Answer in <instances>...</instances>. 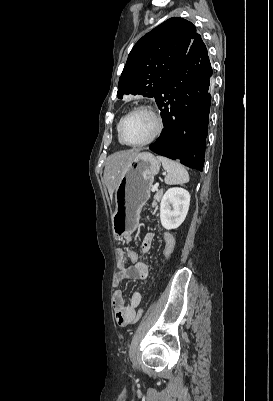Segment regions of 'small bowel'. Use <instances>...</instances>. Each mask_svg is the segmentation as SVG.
<instances>
[{
  "mask_svg": "<svg viewBox=\"0 0 273 401\" xmlns=\"http://www.w3.org/2000/svg\"><path fill=\"white\" fill-rule=\"evenodd\" d=\"M166 242L165 253L170 249H174L175 240L171 233L166 232L164 235ZM154 242V234H146L142 242V251L148 252ZM129 262L128 266L125 263ZM117 273L115 275V286L120 285L124 280L133 279L137 280L140 271H149L148 266L139 260V254L129 248H119L117 250ZM142 301V293L140 291H135L130 297L128 304L125 303L123 298V293L121 290H116L113 294V305L115 310L116 321L119 325L124 326L127 324H132L137 322L142 311L138 309Z\"/></svg>",
  "mask_w": 273,
  "mask_h": 401,
  "instance_id": "1",
  "label": "small bowel"
}]
</instances>
